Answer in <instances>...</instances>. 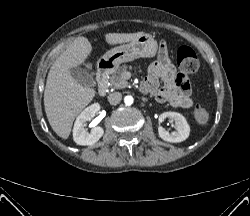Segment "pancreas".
Listing matches in <instances>:
<instances>
[{
	"instance_id": "cf45deb5",
	"label": "pancreas",
	"mask_w": 250,
	"mask_h": 216,
	"mask_svg": "<svg viewBox=\"0 0 250 216\" xmlns=\"http://www.w3.org/2000/svg\"><path fill=\"white\" fill-rule=\"evenodd\" d=\"M127 66L123 65L115 70L109 78V85L114 89H121L127 87L129 84L124 78L123 74L127 71Z\"/></svg>"
}]
</instances>
